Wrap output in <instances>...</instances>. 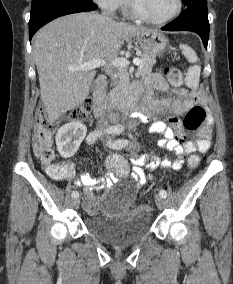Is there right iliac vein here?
Here are the masks:
<instances>
[{"label":"right iliac vein","mask_w":233,"mask_h":284,"mask_svg":"<svg viewBox=\"0 0 233 284\" xmlns=\"http://www.w3.org/2000/svg\"><path fill=\"white\" fill-rule=\"evenodd\" d=\"M73 205H74L75 208H79V205H80V199H79V197H77V198L74 199Z\"/></svg>","instance_id":"right-iliac-vein-1"}]
</instances>
